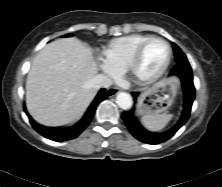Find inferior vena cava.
Listing matches in <instances>:
<instances>
[{"label":"inferior vena cava","mask_w":222,"mask_h":187,"mask_svg":"<svg viewBox=\"0 0 222 187\" xmlns=\"http://www.w3.org/2000/svg\"><path fill=\"white\" fill-rule=\"evenodd\" d=\"M112 83V79L103 74L95 76L90 82L91 87L95 90H98L100 88H108L112 85Z\"/></svg>","instance_id":"602c4592"}]
</instances>
